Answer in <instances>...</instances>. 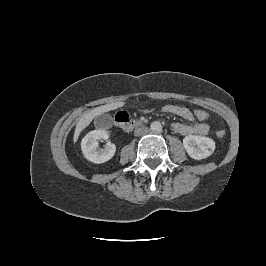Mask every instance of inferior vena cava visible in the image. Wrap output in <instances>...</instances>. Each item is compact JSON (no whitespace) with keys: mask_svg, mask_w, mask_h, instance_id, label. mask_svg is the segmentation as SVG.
I'll return each mask as SVG.
<instances>
[{"mask_svg":"<svg viewBox=\"0 0 266 266\" xmlns=\"http://www.w3.org/2000/svg\"><path fill=\"white\" fill-rule=\"evenodd\" d=\"M149 132V129L147 127H140L135 130V136L145 135Z\"/></svg>","mask_w":266,"mask_h":266,"instance_id":"obj_1","label":"inferior vena cava"}]
</instances>
